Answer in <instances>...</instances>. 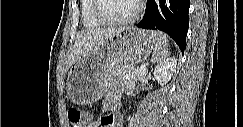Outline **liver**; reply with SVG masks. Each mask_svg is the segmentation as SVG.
Listing matches in <instances>:
<instances>
[{"label": "liver", "mask_w": 243, "mask_h": 127, "mask_svg": "<svg viewBox=\"0 0 243 127\" xmlns=\"http://www.w3.org/2000/svg\"><path fill=\"white\" fill-rule=\"evenodd\" d=\"M125 28H108L85 30L77 34L74 45L67 52V60L65 72L70 66L76 62L81 56L90 53L96 47L100 46L105 40L114 34L121 32Z\"/></svg>", "instance_id": "obj_1"}]
</instances>
